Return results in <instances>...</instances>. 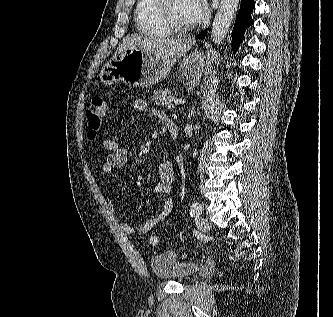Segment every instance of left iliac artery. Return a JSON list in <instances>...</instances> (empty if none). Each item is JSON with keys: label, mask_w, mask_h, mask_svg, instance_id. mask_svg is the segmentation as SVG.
I'll use <instances>...</instances> for the list:
<instances>
[{"label": "left iliac artery", "mask_w": 333, "mask_h": 317, "mask_svg": "<svg viewBox=\"0 0 333 317\" xmlns=\"http://www.w3.org/2000/svg\"><path fill=\"white\" fill-rule=\"evenodd\" d=\"M203 207L199 202H195L192 204L191 208H190V215L194 216V215H198L202 212Z\"/></svg>", "instance_id": "left-iliac-artery-1"}]
</instances>
